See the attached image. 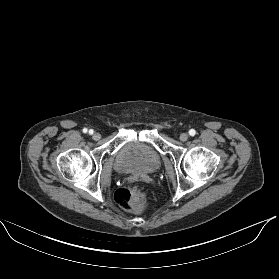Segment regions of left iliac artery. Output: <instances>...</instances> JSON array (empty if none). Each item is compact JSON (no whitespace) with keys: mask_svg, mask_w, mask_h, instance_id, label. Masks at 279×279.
Wrapping results in <instances>:
<instances>
[{"mask_svg":"<svg viewBox=\"0 0 279 279\" xmlns=\"http://www.w3.org/2000/svg\"><path fill=\"white\" fill-rule=\"evenodd\" d=\"M196 134V131L194 129L189 130V135L194 136Z\"/></svg>","mask_w":279,"mask_h":279,"instance_id":"obj_1","label":"left iliac artery"}]
</instances>
